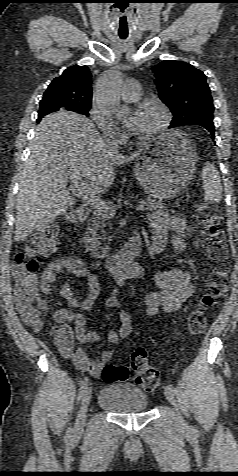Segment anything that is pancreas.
<instances>
[{
	"mask_svg": "<svg viewBox=\"0 0 238 476\" xmlns=\"http://www.w3.org/2000/svg\"><path fill=\"white\" fill-rule=\"evenodd\" d=\"M147 209L154 213H163L166 211V203L161 200H156L148 197L146 199ZM107 217L95 212L90 218L88 227L84 231L83 244L87 251H90L95 257H105L110 251L109 241H106L107 232L105 227L108 225ZM101 241H105V246H102Z\"/></svg>",
	"mask_w": 238,
	"mask_h": 476,
	"instance_id": "cf45deb5",
	"label": "pancreas"
}]
</instances>
